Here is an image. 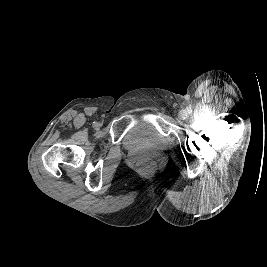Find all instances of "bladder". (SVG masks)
<instances>
[{
  "mask_svg": "<svg viewBox=\"0 0 267 267\" xmlns=\"http://www.w3.org/2000/svg\"><path fill=\"white\" fill-rule=\"evenodd\" d=\"M159 143V136L145 125H138L130 129L124 137L123 145L127 149L140 146L155 147Z\"/></svg>",
  "mask_w": 267,
  "mask_h": 267,
  "instance_id": "bladder-1",
  "label": "bladder"
}]
</instances>
